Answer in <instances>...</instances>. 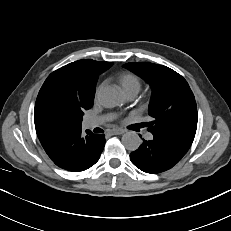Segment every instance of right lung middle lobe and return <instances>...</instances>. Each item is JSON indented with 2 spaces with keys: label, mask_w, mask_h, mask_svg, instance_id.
Listing matches in <instances>:
<instances>
[{
  "label": "right lung middle lobe",
  "mask_w": 231,
  "mask_h": 231,
  "mask_svg": "<svg viewBox=\"0 0 231 231\" xmlns=\"http://www.w3.org/2000/svg\"><path fill=\"white\" fill-rule=\"evenodd\" d=\"M44 109L57 126L66 127L81 126L84 111L89 108H83L76 103L62 99H55L46 103Z\"/></svg>",
  "instance_id": "1"
}]
</instances>
